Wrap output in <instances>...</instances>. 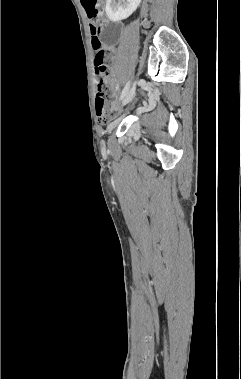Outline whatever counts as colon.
I'll list each match as a JSON object with an SVG mask.
<instances>
[{
  "label": "colon",
  "mask_w": 241,
  "mask_h": 379,
  "mask_svg": "<svg viewBox=\"0 0 241 379\" xmlns=\"http://www.w3.org/2000/svg\"><path fill=\"white\" fill-rule=\"evenodd\" d=\"M81 4L90 20L92 46L95 50L94 63L96 75V111L99 120L102 123H108L115 117L117 107L116 97L105 82L108 74V69L106 66L107 54L98 36L99 21L102 16L103 9L99 4V0H81Z\"/></svg>",
  "instance_id": "5ec220e1"
}]
</instances>
